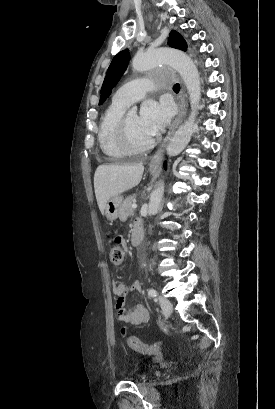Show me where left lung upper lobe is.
Here are the masks:
<instances>
[{"label": "left lung upper lobe", "instance_id": "1", "mask_svg": "<svg viewBox=\"0 0 275 409\" xmlns=\"http://www.w3.org/2000/svg\"><path fill=\"white\" fill-rule=\"evenodd\" d=\"M168 45L173 48H177L186 51V42L184 38L177 31L172 30L169 34ZM130 59V54L128 50H123L119 52L112 60L104 79L99 105L103 104L106 98L110 95L111 90L116 86L120 77L125 72L128 62Z\"/></svg>", "mask_w": 275, "mask_h": 409}]
</instances>
